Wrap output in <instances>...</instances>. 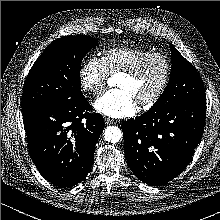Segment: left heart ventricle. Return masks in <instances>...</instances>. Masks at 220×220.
<instances>
[{
	"label": "left heart ventricle",
	"mask_w": 220,
	"mask_h": 220,
	"mask_svg": "<svg viewBox=\"0 0 220 220\" xmlns=\"http://www.w3.org/2000/svg\"><path fill=\"white\" fill-rule=\"evenodd\" d=\"M164 75V65L159 59H151L135 77L120 75L117 87L131 92L136 102L149 98L159 87Z\"/></svg>",
	"instance_id": "1"
}]
</instances>
